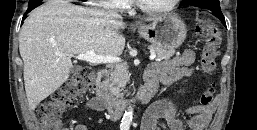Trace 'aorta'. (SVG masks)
<instances>
[{
  "instance_id": "aorta-1",
  "label": "aorta",
  "mask_w": 257,
  "mask_h": 130,
  "mask_svg": "<svg viewBox=\"0 0 257 130\" xmlns=\"http://www.w3.org/2000/svg\"><path fill=\"white\" fill-rule=\"evenodd\" d=\"M132 119H133V108L129 107L128 111L125 112L122 118V121L120 124L121 130H129Z\"/></svg>"
}]
</instances>
